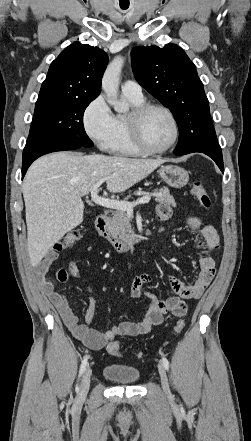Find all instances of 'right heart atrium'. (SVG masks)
<instances>
[{
	"mask_svg": "<svg viewBox=\"0 0 251 441\" xmlns=\"http://www.w3.org/2000/svg\"><path fill=\"white\" fill-rule=\"evenodd\" d=\"M88 137L101 149L108 150L116 132L115 116L102 95L95 97L83 112Z\"/></svg>",
	"mask_w": 251,
	"mask_h": 441,
	"instance_id": "1",
	"label": "right heart atrium"
}]
</instances>
